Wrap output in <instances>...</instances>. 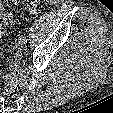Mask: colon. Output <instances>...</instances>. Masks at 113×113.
Here are the masks:
<instances>
[{
	"label": "colon",
	"instance_id": "obj_1",
	"mask_svg": "<svg viewBox=\"0 0 113 113\" xmlns=\"http://www.w3.org/2000/svg\"><path fill=\"white\" fill-rule=\"evenodd\" d=\"M9 1H14L18 2L19 0H9ZM43 2V0H29L28 1V10L31 14H36L38 11V8L40 4ZM1 27H3V24L0 23Z\"/></svg>",
	"mask_w": 113,
	"mask_h": 113
}]
</instances>
